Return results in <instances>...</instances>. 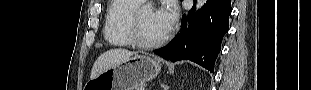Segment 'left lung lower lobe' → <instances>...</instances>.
Returning a JSON list of instances; mask_svg holds the SVG:
<instances>
[{
	"instance_id": "left-lung-lower-lobe-1",
	"label": "left lung lower lobe",
	"mask_w": 311,
	"mask_h": 90,
	"mask_svg": "<svg viewBox=\"0 0 311 90\" xmlns=\"http://www.w3.org/2000/svg\"><path fill=\"white\" fill-rule=\"evenodd\" d=\"M231 10V0H208L196 13L194 5L188 17H182L179 36L154 53L172 62L188 59L213 72Z\"/></svg>"
}]
</instances>
